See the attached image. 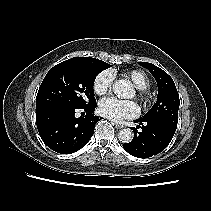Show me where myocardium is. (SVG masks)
Masks as SVG:
<instances>
[{"mask_svg":"<svg viewBox=\"0 0 211 211\" xmlns=\"http://www.w3.org/2000/svg\"><path fill=\"white\" fill-rule=\"evenodd\" d=\"M137 98L145 105H149L151 102L150 95L146 89H138Z\"/></svg>","mask_w":211,"mask_h":211,"instance_id":"1","label":"myocardium"}]
</instances>
